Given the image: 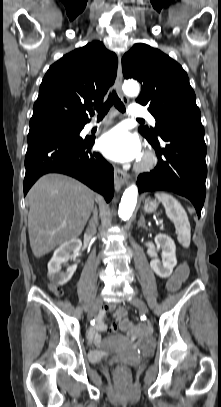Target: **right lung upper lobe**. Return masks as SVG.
Returning a JSON list of instances; mask_svg holds the SVG:
<instances>
[{"label": "right lung upper lobe", "instance_id": "cb5924a9", "mask_svg": "<svg viewBox=\"0 0 221 407\" xmlns=\"http://www.w3.org/2000/svg\"><path fill=\"white\" fill-rule=\"evenodd\" d=\"M117 57L93 41L55 62L45 74L33 107L30 128L49 124H86L87 111L103 102L114 83Z\"/></svg>", "mask_w": 221, "mask_h": 407}]
</instances>
